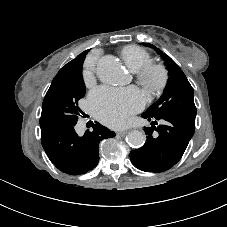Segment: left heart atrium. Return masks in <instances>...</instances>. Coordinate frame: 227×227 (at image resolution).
Here are the masks:
<instances>
[{"mask_svg":"<svg viewBox=\"0 0 227 227\" xmlns=\"http://www.w3.org/2000/svg\"><path fill=\"white\" fill-rule=\"evenodd\" d=\"M144 104V96L130 89L100 87L93 90L88 99L92 113L110 127L125 125Z\"/></svg>","mask_w":227,"mask_h":227,"instance_id":"1","label":"left heart atrium"}]
</instances>
